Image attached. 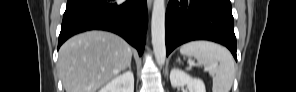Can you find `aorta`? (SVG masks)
Listing matches in <instances>:
<instances>
[{
  "label": "aorta",
  "mask_w": 296,
  "mask_h": 92,
  "mask_svg": "<svg viewBox=\"0 0 296 92\" xmlns=\"http://www.w3.org/2000/svg\"><path fill=\"white\" fill-rule=\"evenodd\" d=\"M152 45L155 59L162 66L166 59L165 47V1L154 0L151 20Z\"/></svg>",
  "instance_id": "1"
}]
</instances>
